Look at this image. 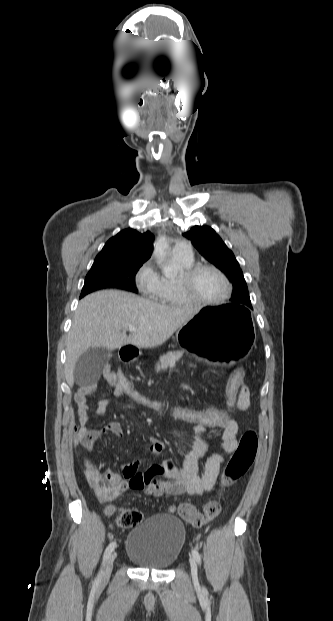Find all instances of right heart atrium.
I'll return each instance as SVG.
<instances>
[{
    "mask_svg": "<svg viewBox=\"0 0 333 621\" xmlns=\"http://www.w3.org/2000/svg\"><path fill=\"white\" fill-rule=\"evenodd\" d=\"M136 286L140 292L154 297L159 289L161 277L150 262H146L136 274Z\"/></svg>",
    "mask_w": 333,
    "mask_h": 621,
    "instance_id": "right-heart-atrium-1",
    "label": "right heart atrium"
}]
</instances>
